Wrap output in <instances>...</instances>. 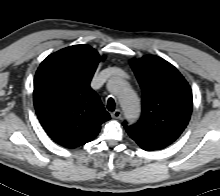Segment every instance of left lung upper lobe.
<instances>
[{
  "label": "left lung upper lobe",
  "instance_id": "left-lung-upper-lobe-1",
  "mask_svg": "<svg viewBox=\"0 0 220 196\" xmlns=\"http://www.w3.org/2000/svg\"><path fill=\"white\" fill-rule=\"evenodd\" d=\"M142 89V115L124 127L152 150L172 144L187 126L192 111V92L179 71L166 60L146 55L131 61Z\"/></svg>",
  "mask_w": 220,
  "mask_h": 196
}]
</instances>
